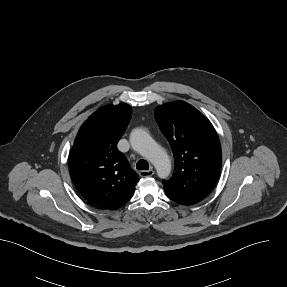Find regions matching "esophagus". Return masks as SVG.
I'll return each mask as SVG.
<instances>
[{"instance_id":"obj_1","label":"esophagus","mask_w":287,"mask_h":287,"mask_svg":"<svg viewBox=\"0 0 287 287\" xmlns=\"http://www.w3.org/2000/svg\"><path fill=\"white\" fill-rule=\"evenodd\" d=\"M154 174V170L150 169V170H142L139 172V175L142 177H150Z\"/></svg>"}]
</instances>
